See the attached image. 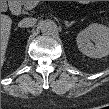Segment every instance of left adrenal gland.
Segmentation results:
<instances>
[{
  "mask_svg": "<svg viewBox=\"0 0 109 109\" xmlns=\"http://www.w3.org/2000/svg\"><path fill=\"white\" fill-rule=\"evenodd\" d=\"M74 23H75V21H71V22L65 21V26H66V27H70V26H72Z\"/></svg>",
  "mask_w": 109,
  "mask_h": 109,
  "instance_id": "left-adrenal-gland-1",
  "label": "left adrenal gland"
}]
</instances>
